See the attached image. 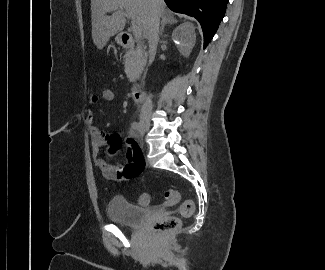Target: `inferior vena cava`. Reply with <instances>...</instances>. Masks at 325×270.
<instances>
[{
	"instance_id": "1",
	"label": "inferior vena cava",
	"mask_w": 325,
	"mask_h": 270,
	"mask_svg": "<svg viewBox=\"0 0 325 270\" xmlns=\"http://www.w3.org/2000/svg\"><path fill=\"white\" fill-rule=\"evenodd\" d=\"M159 23H160V14L156 12L154 13L150 21L149 34H148L150 63L154 61L156 48L159 41ZM151 113H152V100L151 97L149 96L142 106L141 114H140L141 120L149 121Z\"/></svg>"
}]
</instances>
